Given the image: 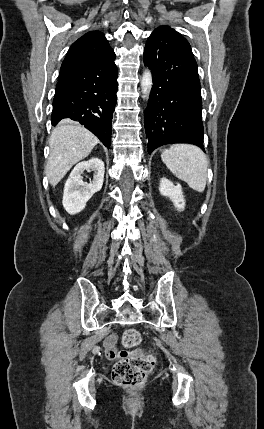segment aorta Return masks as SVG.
I'll return each mask as SVG.
<instances>
[{
	"label": "aorta",
	"instance_id": "aorta-1",
	"mask_svg": "<svg viewBox=\"0 0 264 429\" xmlns=\"http://www.w3.org/2000/svg\"><path fill=\"white\" fill-rule=\"evenodd\" d=\"M152 74L150 72L149 69H146L142 75V79H141V89H142V93L144 98H148L151 88H152Z\"/></svg>",
	"mask_w": 264,
	"mask_h": 429
}]
</instances>
